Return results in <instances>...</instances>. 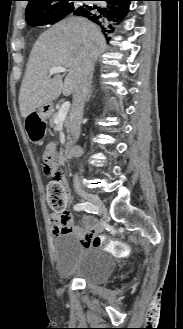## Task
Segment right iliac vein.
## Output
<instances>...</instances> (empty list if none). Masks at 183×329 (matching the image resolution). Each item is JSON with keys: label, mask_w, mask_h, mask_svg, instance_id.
<instances>
[{"label": "right iliac vein", "mask_w": 183, "mask_h": 329, "mask_svg": "<svg viewBox=\"0 0 183 329\" xmlns=\"http://www.w3.org/2000/svg\"><path fill=\"white\" fill-rule=\"evenodd\" d=\"M78 195L82 199L93 203L101 214H103L104 216L107 215V209L104 207V205L101 203L100 199L96 195L88 193L84 190H79Z\"/></svg>", "instance_id": "obj_1"}]
</instances>
